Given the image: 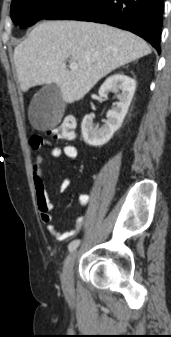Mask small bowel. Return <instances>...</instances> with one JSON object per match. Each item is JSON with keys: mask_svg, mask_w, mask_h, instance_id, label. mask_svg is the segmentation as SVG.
Segmentation results:
<instances>
[{"mask_svg": "<svg viewBox=\"0 0 171 337\" xmlns=\"http://www.w3.org/2000/svg\"><path fill=\"white\" fill-rule=\"evenodd\" d=\"M46 144L50 148V153L53 157L65 156L68 159L75 160L78 157V149L73 144H66L62 147L54 144L51 141L44 140L42 137H32L30 145L35 151L32 161V177L36 195V202L40 212L42 222L47 226L48 232L59 241H64L77 235L83 228L85 222V209L89 203V196L82 194L79 196V204L83 213L73 222L72 226L67 230H60L54 223V216L52 214L53 204L45 183V174L43 169L44 157L39 152L41 147ZM71 185L69 178H64L59 183V191L66 190Z\"/></svg>", "mask_w": 171, "mask_h": 337, "instance_id": "1", "label": "small bowel"}]
</instances>
